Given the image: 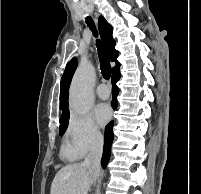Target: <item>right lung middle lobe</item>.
<instances>
[{
  "instance_id": "1",
  "label": "right lung middle lobe",
  "mask_w": 201,
  "mask_h": 194,
  "mask_svg": "<svg viewBox=\"0 0 201 194\" xmlns=\"http://www.w3.org/2000/svg\"><path fill=\"white\" fill-rule=\"evenodd\" d=\"M68 120H69V117L60 119V129H59L60 135L64 134L68 125Z\"/></svg>"
}]
</instances>
